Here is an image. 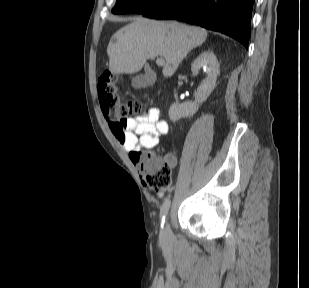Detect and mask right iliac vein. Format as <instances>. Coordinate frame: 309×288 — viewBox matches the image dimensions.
Masks as SVG:
<instances>
[{
  "mask_svg": "<svg viewBox=\"0 0 309 288\" xmlns=\"http://www.w3.org/2000/svg\"><path fill=\"white\" fill-rule=\"evenodd\" d=\"M161 234H162V238L165 240V241H168L170 240L171 238V231H170V227H169V224L166 222L162 231H161Z\"/></svg>",
  "mask_w": 309,
  "mask_h": 288,
  "instance_id": "right-iliac-vein-1",
  "label": "right iliac vein"
}]
</instances>
